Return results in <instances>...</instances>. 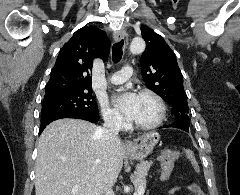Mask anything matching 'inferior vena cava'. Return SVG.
<instances>
[{
    "instance_id": "inferior-vena-cava-1",
    "label": "inferior vena cava",
    "mask_w": 240,
    "mask_h": 195,
    "mask_svg": "<svg viewBox=\"0 0 240 195\" xmlns=\"http://www.w3.org/2000/svg\"><path fill=\"white\" fill-rule=\"evenodd\" d=\"M103 119L105 123H103V127H97L95 133L98 135L100 139V143L104 145L106 141H119L118 133L119 129H121L122 121L114 115V113H104ZM104 195H114L111 187L104 191Z\"/></svg>"
}]
</instances>
